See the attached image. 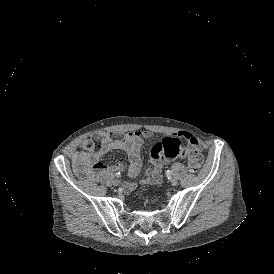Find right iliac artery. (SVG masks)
Returning a JSON list of instances; mask_svg holds the SVG:
<instances>
[{
  "instance_id": "obj_1",
  "label": "right iliac artery",
  "mask_w": 274,
  "mask_h": 274,
  "mask_svg": "<svg viewBox=\"0 0 274 274\" xmlns=\"http://www.w3.org/2000/svg\"><path fill=\"white\" fill-rule=\"evenodd\" d=\"M115 175H116V177H120V176H121V173H120V172H117Z\"/></svg>"
}]
</instances>
